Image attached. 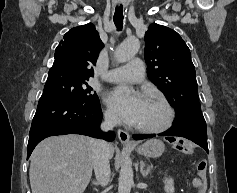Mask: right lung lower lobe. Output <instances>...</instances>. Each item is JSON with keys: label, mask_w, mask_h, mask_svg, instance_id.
<instances>
[{"label": "right lung lower lobe", "mask_w": 237, "mask_h": 193, "mask_svg": "<svg viewBox=\"0 0 237 193\" xmlns=\"http://www.w3.org/2000/svg\"><path fill=\"white\" fill-rule=\"evenodd\" d=\"M100 103L91 106H77L58 98H40L33 118L27 159L35 146L49 136L63 134H81L111 141L114 133H102Z\"/></svg>", "instance_id": "obj_1"}]
</instances>
